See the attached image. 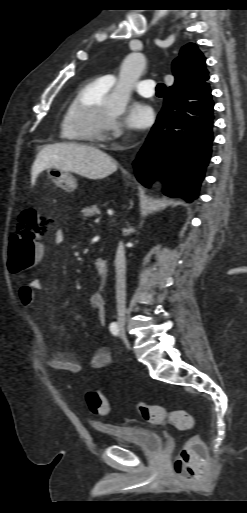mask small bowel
Wrapping results in <instances>:
<instances>
[{
  "label": "small bowel",
  "instance_id": "obj_1",
  "mask_svg": "<svg viewBox=\"0 0 247 513\" xmlns=\"http://www.w3.org/2000/svg\"><path fill=\"white\" fill-rule=\"evenodd\" d=\"M53 241L57 245L63 243L64 231L62 229H56L54 231ZM41 249L43 251L42 245ZM37 292H45V287L41 279L34 278L28 284L19 287L18 296L22 304L30 306L33 304ZM88 304L95 311L96 319L99 324L103 326L106 322V309L102 294L92 292L88 297ZM43 360L48 367L54 370L77 373L82 369L81 363L70 352L56 350L46 351L43 354ZM111 362V353L105 347L95 350L90 359V365L93 369L106 368Z\"/></svg>",
  "mask_w": 247,
  "mask_h": 513
}]
</instances>
